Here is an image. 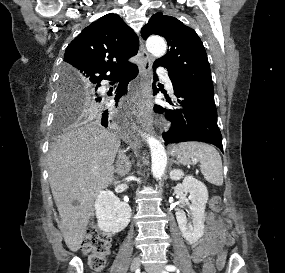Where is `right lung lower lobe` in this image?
I'll list each match as a JSON object with an SVG mask.
<instances>
[{
	"instance_id": "1",
	"label": "right lung lower lobe",
	"mask_w": 285,
	"mask_h": 273,
	"mask_svg": "<svg viewBox=\"0 0 285 273\" xmlns=\"http://www.w3.org/2000/svg\"><path fill=\"white\" fill-rule=\"evenodd\" d=\"M137 74H138V67L135 64H132L126 67L125 69H123L122 71H120L119 73L109 76L103 80H110V81L115 80V81L120 82L118 86V93L115 96V100L118 101L119 98L126 92L128 83L132 79H134L137 76ZM101 81H98L96 83V89L100 86ZM112 118H113V115L111 111H109L108 109H105L104 104H102L101 112H100L99 119H98L101 125H103L104 127H107L108 125L112 123Z\"/></svg>"
}]
</instances>
